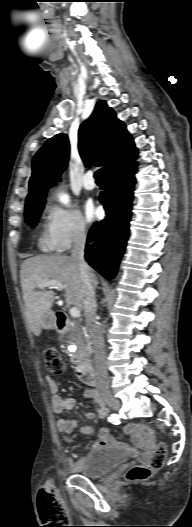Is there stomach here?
<instances>
[{"mask_svg":"<svg viewBox=\"0 0 192 527\" xmlns=\"http://www.w3.org/2000/svg\"><path fill=\"white\" fill-rule=\"evenodd\" d=\"M42 322V328L44 329H55L57 326L55 314L52 311L46 313Z\"/></svg>","mask_w":192,"mask_h":527,"instance_id":"stomach-1","label":"stomach"}]
</instances>
